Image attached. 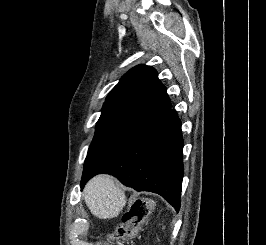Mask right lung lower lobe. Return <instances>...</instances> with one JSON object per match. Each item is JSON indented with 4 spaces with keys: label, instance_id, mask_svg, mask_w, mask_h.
I'll use <instances>...</instances> for the list:
<instances>
[{
    "label": "right lung lower lobe",
    "instance_id": "obj_1",
    "mask_svg": "<svg viewBox=\"0 0 266 245\" xmlns=\"http://www.w3.org/2000/svg\"><path fill=\"white\" fill-rule=\"evenodd\" d=\"M181 121L168 109L143 121L83 172L81 188L94 175L108 173L136 191L161 195L180 208L183 179Z\"/></svg>",
    "mask_w": 266,
    "mask_h": 245
}]
</instances>
